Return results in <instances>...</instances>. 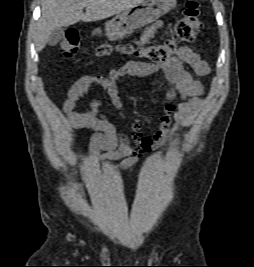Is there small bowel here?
I'll return each instance as SVG.
<instances>
[{
  "instance_id": "obj_1",
  "label": "small bowel",
  "mask_w": 254,
  "mask_h": 267,
  "mask_svg": "<svg viewBox=\"0 0 254 267\" xmlns=\"http://www.w3.org/2000/svg\"><path fill=\"white\" fill-rule=\"evenodd\" d=\"M160 23L148 28L140 39L139 44L144 45L150 41ZM189 66L193 73L204 77L210 73L209 64L201 59L198 51L191 46L179 49L176 55L165 62L152 64L144 62H129L126 65L112 69L108 75H84L69 89L67 99L63 103V111L67 124L73 129H91L94 131L89 141V155L96 161H120L116 166L108 167L104 171L93 170L95 175H112L124 171L135 165L137 157L145 152L155 150L166 132L171 128L174 132L188 127L197 116L202 102L204 87L200 80L185 68ZM157 75L161 86L165 89L167 104L164 114L160 117V129L152 137H143L141 123L145 117L120 114L132 127V136L137 143L133 148L126 135L117 130L116 125L101 113V103L93 100L90 110L76 111L79 100L84 97L93 85L102 87L110 97L117 110L123 108L117 81L121 78L146 77ZM180 98L178 103L174 101ZM173 119V124L171 120Z\"/></svg>"
}]
</instances>
